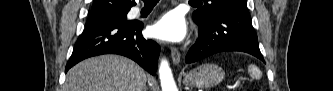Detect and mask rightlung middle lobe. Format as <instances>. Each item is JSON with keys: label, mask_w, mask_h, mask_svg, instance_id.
I'll return each mask as SVG.
<instances>
[{"label": "right lung middle lobe", "mask_w": 333, "mask_h": 91, "mask_svg": "<svg viewBox=\"0 0 333 91\" xmlns=\"http://www.w3.org/2000/svg\"><path fill=\"white\" fill-rule=\"evenodd\" d=\"M127 12H122V13H119V14H115V15H112V16H109V17H106V18H102V19H118V20H126V16H127Z\"/></svg>", "instance_id": "dd1d6c3e"}]
</instances>
